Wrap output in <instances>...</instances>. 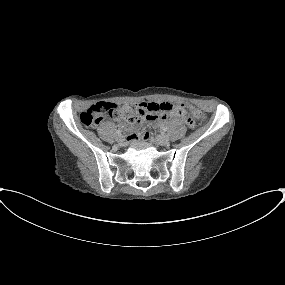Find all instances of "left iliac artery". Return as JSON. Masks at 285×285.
Returning <instances> with one entry per match:
<instances>
[{
  "instance_id": "left-iliac-artery-1",
  "label": "left iliac artery",
  "mask_w": 285,
  "mask_h": 285,
  "mask_svg": "<svg viewBox=\"0 0 285 285\" xmlns=\"http://www.w3.org/2000/svg\"><path fill=\"white\" fill-rule=\"evenodd\" d=\"M162 130H163V132H166L167 131V127H163Z\"/></svg>"
}]
</instances>
